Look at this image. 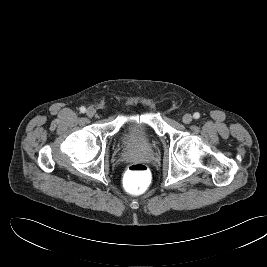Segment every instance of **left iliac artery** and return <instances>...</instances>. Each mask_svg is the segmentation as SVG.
<instances>
[{
	"label": "left iliac artery",
	"instance_id": "44dca946",
	"mask_svg": "<svg viewBox=\"0 0 267 267\" xmlns=\"http://www.w3.org/2000/svg\"><path fill=\"white\" fill-rule=\"evenodd\" d=\"M193 117H194V119H199L200 118V114L198 112H195L193 114Z\"/></svg>",
	"mask_w": 267,
	"mask_h": 267
}]
</instances>
